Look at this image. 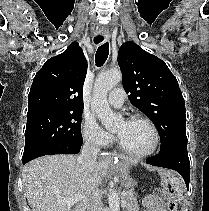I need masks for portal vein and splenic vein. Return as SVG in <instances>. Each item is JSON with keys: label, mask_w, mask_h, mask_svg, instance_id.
I'll list each match as a JSON object with an SVG mask.
<instances>
[{"label": "portal vein and splenic vein", "mask_w": 209, "mask_h": 211, "mask_svg": "<svg viewBox=\"0 0 209 211\" xmlns=\"http://www.w3.org/2000/svg\"><path fill=\"white\" fill-rule=\"evenodd\" d=\"M127 194L126 191L122 192V195L125 196ZM85 196L83 194H76L74 196H71L69 198L66 199H58L59 202L61 203H65L68 205H73L75 203H77L79 200L83 199Z\"/></svg>", "instance_id": "obj_1"}]
</instances>
